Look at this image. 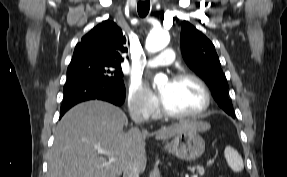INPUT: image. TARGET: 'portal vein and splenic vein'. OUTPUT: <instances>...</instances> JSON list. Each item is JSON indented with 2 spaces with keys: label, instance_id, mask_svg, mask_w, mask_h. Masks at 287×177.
Here are the masks:
<instances>
[{
  "label": "portal vein and splenic vein",
  "instance_id": "portal-vein-and-splenic-vein-1",
  "mask_svg": "<svg viewBox=\"0 0 287 177\" xmlns=\"http://www.w3.org/2000/svg\"><path fill=\"white\" fill-rule=\"evenodd\" d=\"M98 153H99V154H104V155L109 156V161H110V162L116 161V157L113 156L112 153H110L109 151H107V150H105V149L98 148ZM192 177H197V175H193Z\"/></svg>",
  "mask_w": 287,
  "mask_h": 177
}]
</instances>
